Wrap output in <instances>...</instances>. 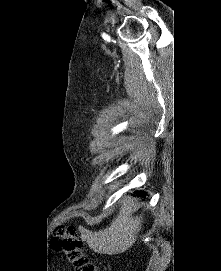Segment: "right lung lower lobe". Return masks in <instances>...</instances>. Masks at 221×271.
<instances>
[{
	"mask_svg": "<svg viewBox=\"0 0 221 271\" xmlns=\"http://www.w3.org/2000/svg\"><path fill=\"white\" fill-rule=\"evenodd\" d=\"M137 196H142L145 197V193L144 192H136Z\"/></svg>",
	"mask_w": 221,
	"mask_h": 271,
	"instance_id": "98d812e1",
	"label": "right lung lower lobe"
}]
</instances>
